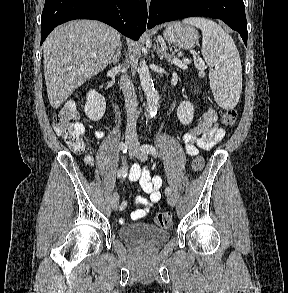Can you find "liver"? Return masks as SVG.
<instances>
[{
  "instance_id": "obj_1",
  "label": "liver",
  "mask_w": 288,
  "mask_h": 293,
  "mask_svg": "<svg viewBox=\"0 0 288 293\" xmlns=\"http://www.w3.org/2000/svg\"><path fill=\"white\" fill-rule=\"evenodd\" d=\"M119 41V32L99 21L75 20L56 27L43 43L50 105L59 108L78 87L104 70Z\"/></svg>"
}]
</instances>
